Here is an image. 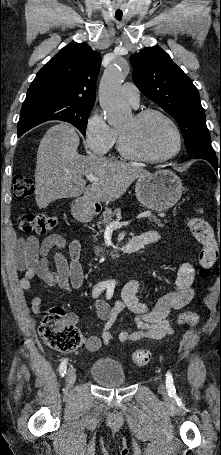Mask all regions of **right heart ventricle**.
Returning <instances> with one entry per match:
<instances>
[{
  "label": "right heart ventricle",
  "instance_id": "obj_1",
  "mask_svg": "<svg viewBox=\"0 0 221 455\" xmlns=\"http://www.w3.org/2000/svg\"><path fill=\"white\" fill-rule=\"evenodd\" d=\"M115 143L118 144V132L116 131V139H115Z\"/></svg>",
  "mask_w": 221,
  "mask_h": 455
}]
</instances>
